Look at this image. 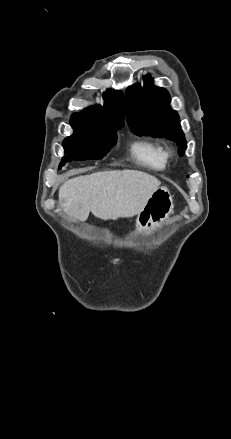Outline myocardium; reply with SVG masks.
Listing matches in <instances>:
<instances>
[{
    "mask_svg": "<svg viewBox=\"0 0 231 439\" xmlns=\"http://www.w3.org/2000/svg\"><path fill=\"white\" fill-rule=\"evenodd\" d=\"M167 154H168L169 156L173 155V150H172V149H168V150H167Z\"/></svg>",
    "mask_w": 231,
    "mask_h": 439,
    "instance_id": "1",
    "label": "myocardium"
}]
</instances>
